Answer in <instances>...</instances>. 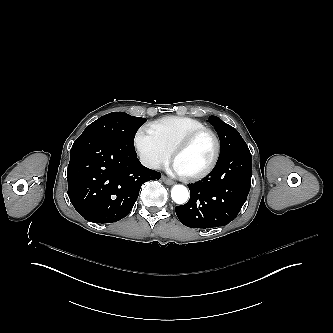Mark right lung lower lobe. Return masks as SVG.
<instances>
[{"label":"right lung lower lobe","instance_id":"1","mask_svg":"<svg viewBox=\"0 0 333 333\" xmlns=\"http://www.w3.org/2000/svg\"><path fill=\"white\" fill-rule=\"evenodd\" d=\"M160 177L140 163L135 150L106 136H80L70 151L68 196L86 220L116 222L131 211L142 184Z\"/></svg>","mask_w":333,"mask_h":333}]
</instances>
